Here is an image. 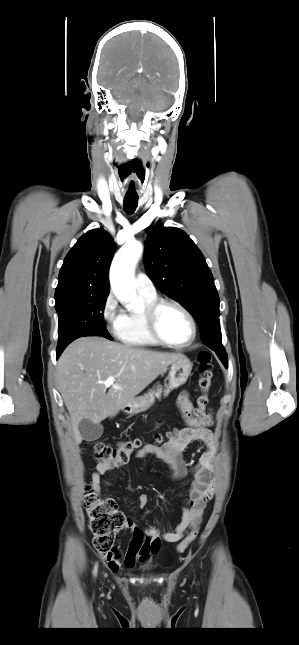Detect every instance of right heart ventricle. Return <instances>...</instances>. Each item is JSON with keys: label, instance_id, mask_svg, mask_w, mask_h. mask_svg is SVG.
<instances>
[{"label": "right heart ventricle", "instance_id": "e07e8e85", "mask_svg": "<svg viewBox=\"0 0 299 645\" xmlns=\"http://www.w3.org/2000/svg\"><path fill=\"white\" fill-rule=\"evenodd\" d=\"M140 307L123 313L122 324L117 334L118 339L134 347L156 346L159 343L149 333L145 321L146 307L157 300L156 295L139 292Z\"/></svg>", "mask_w": 299, "mask_h": 645}]
</instances>
